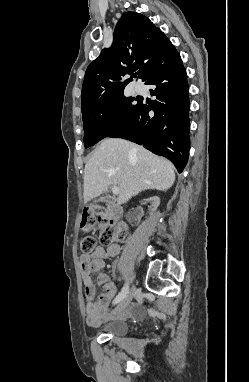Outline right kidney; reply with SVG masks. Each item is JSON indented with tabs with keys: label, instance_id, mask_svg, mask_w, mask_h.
<instances>
[{
	"label": "right kidney",
	"instance_id": "right-kidney-1",
	"mask_svg": "<svg viewBox=\"0 0 249 382\" xmlns=\"http://www.w3.org/2000/svg\"><path fill=\"white\" fill-rule=\"evenodd\" d=\"M145 204L146 205H151L153 204V206L155 207V209L159 206L160 204V200L158 197H150V198H146L145 199ZM141 205L140 204H135L134 207H131L130 210L127 211V214H126V219H127V223L128 224H132L131 225V228L132 229H135L136 228V223H137V218L135 217L136 214L139 213V211L141 210ZM139 221V220H138Z\"/></svg>",
	"mask_w": 249,
	"mask_h": 382
}]
</instances>
